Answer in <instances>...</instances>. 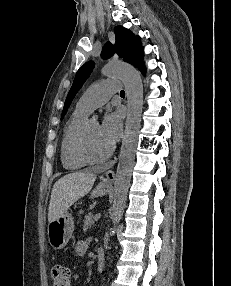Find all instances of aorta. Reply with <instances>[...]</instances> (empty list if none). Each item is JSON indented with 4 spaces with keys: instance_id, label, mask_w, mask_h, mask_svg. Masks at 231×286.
<instances>
[{
    "instance_id": "762f6f07",
    "label": "aorta",
    "mask_w": 231,
    "mask_h": 286,
    "mask_svg": "<svg viewBox=\"0 0 231 286\" xmlns=\"http://www.w3.org/2000/svg\"><path fill=\"white\" fill-rule=\"evenodd\" d=\"M102 73L122 80L127 96V117L119 162L114 182L112 217L114 228L123 215L141 126L143 109V83L139 72L131 65L110 62ZM95 119L96 116H93ZM114 232V231H113Z\"/></svg>"
}]
</instances>
